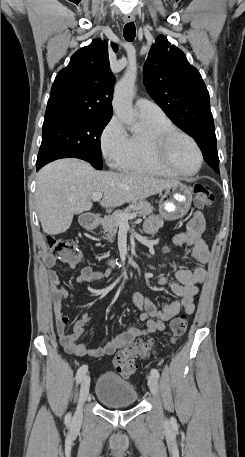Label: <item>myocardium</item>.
<instances>
[{
    "label": "myocardium",
    "instance_id": "myocardium-1",
    "mask_svg": "<svg viewBox=\"0 0 245 457\" xmlns=\"http://www.w3.org/2000/svg\"><path fill=\"white\" fill-rule=\"evenodd\" d=\"M182 136L186 138L190 144L191 148L193 149L194 153L197 157V166L191 172H181L171 168L168 165L163 164L159 161L156 157L155 149L157 147H166L172 143V141L177 137ZM142 153L144 158L147 160L149 164H151L157 170L164 172L169 175L173 176H182L188 177L196 174L203 163V156L202 153L195 141V139L190 136L188 133L178 129V128H154L148 129L147 132L144 134L142 139Z\"/></svg>",
    "mask_w": 245,
    "mask_h": 457
}]
</instances>
